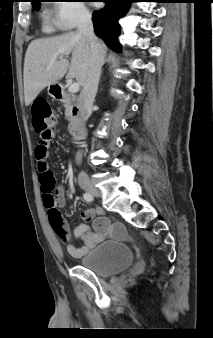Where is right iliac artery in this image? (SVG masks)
<instances>
[{"label": "right iliac artery", "mask_w": 213, "mask_h": 338, "mask_svg": "<svg viewBox=\"0 0 213 338\" xmlns=\"http://www.w3.org/2000/svg\"><path fill=\"white\" fill-rule=\"evenodd\" d=\"M83 198H84V200L87 201V202L93 201V196H92V194H90V193H85V194L83 195Z\"/></svg>", "instance_id": "right-iliac-artery-1"}]
</instances>
